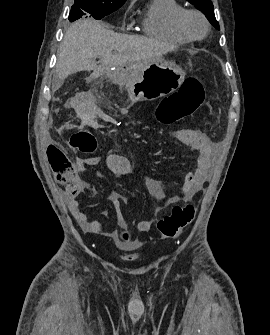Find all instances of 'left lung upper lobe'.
Returning a JSON list of instances; mask_svg holds the SVG:
<instances>
[{
  "mask_svg": "<svg viewBox=\"0 0 270 335\" xmlns=\"http://www.w3.org/2000/svg\"><path fill=\"white\" fill-rule=\"evenodd\" d=\"M193 4L197 9L205 14L210 23L220 30L219 24L215 18L214 7L210 0H188Z\"/></svg>",
  "mask_w": 270,
  "mask_h": 335,
  "instance_id": "obj_1",
  "label": "left lung upper lobe"
}]
</instances>
